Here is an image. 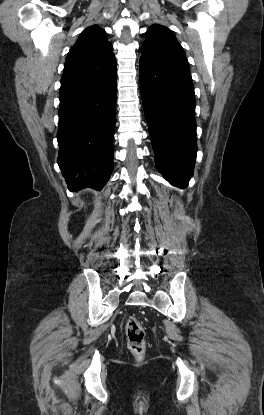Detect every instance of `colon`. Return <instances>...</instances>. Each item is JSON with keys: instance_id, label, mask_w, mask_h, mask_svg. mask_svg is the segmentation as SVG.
Masks as SVG:
<instances>
[{"instance_id": "obj_1", "label": "colon", "mask_w": 264, "mask_h": 415, "mask_svg": "<svg viewBox=\"0 0 264 415\" xmlns=\"http://www.w3.org/2000/svg\"><path fill=\"white\" fill-rule=\"evenodd\" d=\"M126 337L131 352L141 358L146 349L145 330L141 322L135 317H129L125 324Z\"/></svg>"}]
</instances>
